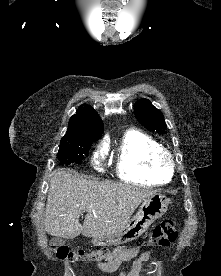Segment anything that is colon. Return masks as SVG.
Returning a JSON list of instances; mask_svg holds the SVG:
<instances>
[{
    "label": "colon",
    "instance_id": "5ec220e1",
    "mask_svg": "<svg viewBox=\"0 0 221 276\" xmlns=\"http://www.w3.org/2000/svg\"><path fill=\"white\" fill-rule=\"evenodd\" d=\"M178 236V230L176 223L173 220H164L156 225L150 235V237L143 243L144 247L157 248L170 246ZM129 248L128 244L122 247L123 251ZM108 245L104 246V249L92 252H86L83 250L73 251L65 246L55 247L53 252L55 256L62 261H73V262H99L106 261L110 258V254L107 251Z\"/></svg>",
    "mask_w": 221,
    "mask_h": 276
}]
</instances>
